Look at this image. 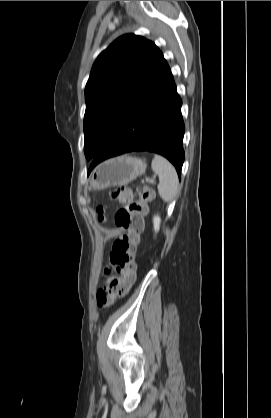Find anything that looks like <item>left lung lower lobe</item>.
<instances>
[{
  "label": "left lung lower lobe",
  "instance_id": "0a47b994",
  "mask_svg": "<svg viewBox=\"0 0 271 418\" xmlns=\"http://www.w3.org/2000/svg\"><path fill=\"white\" fill-rule=\"evenodd\" d=\"M181 105L167 64L93 158L89 172L105 159L132 151H149L166 157L180 177L185 157Z\"/></svg>",
  "mask_w": 271,
  "mask_h": 418
}]
</instances>
